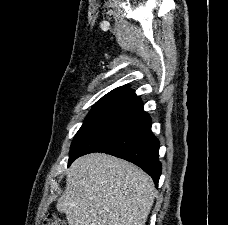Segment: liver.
Masks as SVG:
<instances>
[{
	"label": "liver",
	"mask_w": 228,
	"mask_h": 225,
	"mask_svg": "<svg viewBox=\"0 0 228 225\" xmlns=\"http://www.w3.org/2000/svg\"><path fill=\"white\" fill-rule=\"evenodd\" d=\"M56 209L68 225H145L155 185L144 171L104 153L76 159Z\"/></svg>",
	"instance_id": "liver-1"
}]
</instances>
